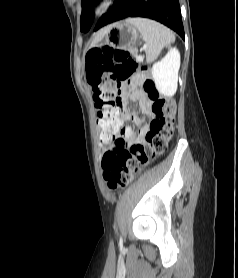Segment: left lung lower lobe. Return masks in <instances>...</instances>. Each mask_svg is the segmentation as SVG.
Wrapping results in <instances>:
<instances>
[{
    "instance_id": "left-lung-lower-lobe-1",
    "label": "left lung lower lobe",
    "mask_w": 238,
    "mask_h": 278,
    "mask_svg": "<svg viewBox=\"0 0 238 278\" xmlns=\"http://www.w3.org/2000/svg\"><path fill=\"white\" fill-rule=\"evenodd\" d=\"M128 17L156 20L183 39L185 37L178 0H115L112 9L100 18L94 30Z\"/></svg>"
}]
</instances>
